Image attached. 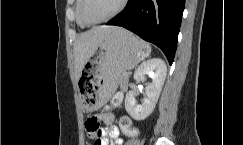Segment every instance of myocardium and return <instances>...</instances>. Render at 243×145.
Here are the masks:
<instances>
[{"label": "myocardium", "instance_id": "1", "mask_svg": "<svg viewBox=\"0 0 243 145\" xmlns=\"http://www.w3.org/2000/svg\"><path fill=\"white\" fill-rule=\"evenodd\" d=\"M86 2L87 0H81V5H80V17L82 19V21L87 25V26H93V25H98L104 22H107L111 19H113L114 17H116L117 15H119L127 6L129 0H122L119 7L109 16H107L106 18L96 21V22H90L85 15V6H86Z\"/></svg>", "mask_w": 243, "mask_h": 145}]
</instances>
